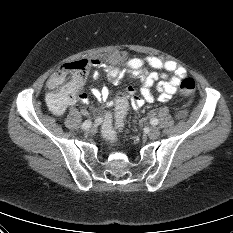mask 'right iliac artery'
Segmentation results:
<instances>
[{"label": "right iliac artery", "mask_w": 233, "mask_h": 233, "mask_svg": "<svg viewBox=\"0 0 233 233\" xmlns=\"http://www.w3.org/2000/svg\"><path fill=\"white\" fill-rule=\"evenodd\" d=\"M89 121L90 120H86L83 124H82V129H88V128H90V126H89Z\"/></svg>", "instance_id": "obj_1"}]
</instances>
